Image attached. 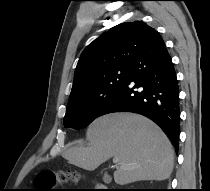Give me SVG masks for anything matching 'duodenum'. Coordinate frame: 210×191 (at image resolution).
<instances>
[{
  "label": "duodenum",
  "mask_w": 210,
  "mask_h": 191,
  "mask_svg": "<svg viewBox=\"0 0 210 191\" xmlns=\"http://www.w3.org/2000/svg\"><path fill=\"white\" fill-rule=\"evenodd\" d=\"M98 191H113V190L103 189V190H98Z\"/></svg>",
  "instance_id": "1"
}]
</instances>
